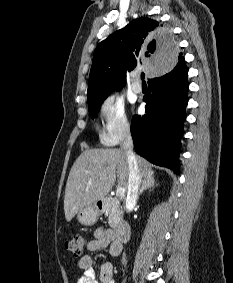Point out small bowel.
Returning a JSON list of instances; mask_svg holds the SVG:
<instances>
[{
    "instance_id": "obj_1",
    "label": "small bowel",
    "mask_w": 233,
    "mask_h": 283,
    "mask_svg": "<svg viewBox=\"0 0 233 283\" xmlns=\"http://www.w3.org/2000/svg\"><path fill=\"white\" fill-rule=\"evenodd\" d=\"M104 248H109L112 256H117L120 251H117L114 244V232L111 230L98 228L93 233V239L87 243L89 251H99ZM79 267L83 270V274L78 279L77 283H115L113 278V266L111 263H104L99 272V279H96L93 268V259L85 255L79 259Z\"/></svg>"
}]
</instances>
